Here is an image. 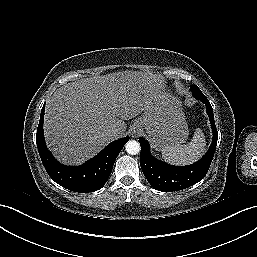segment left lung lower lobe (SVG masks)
Segmentation results:
<instances>
[{"instance_id": "1", "label": "left lung lower lobe", "mask_w": 257, "mask_h": 257, "mask_svg": "<svg viewBox=\"0 0 257 257\" xmlns=\"http://www.w3.org/2000/svg\"><path fill=\"white\" fill-rule=\"evenodd\" d=\"M193 96L205 104L213 131L211 147L202 159L188 166L169 165L151 156L148 142L144 138H139L141 169L150 185L158 191L173 192L188 188L201 181L211 165L218 139L213 109L204 94Z\"/></svg>"}]
</instances>
